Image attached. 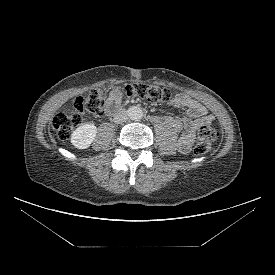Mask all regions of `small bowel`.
<instances>
[{
	"label": "small bowel",
	"instance_id": "small-bowel-1",
	"mask_svg": "<svg viewBox=\"0 0 275 275\" xmlns=\"http://www.w3.org/2000/svg\"><path fill=\"white\" fill-rule=\"evenodd\" d=\"M173 106H185L188 108L187 116L182 119L167 118L165 121L179 135L178 147L181 152L187 153L195 139L196 133L203 123L210 124L214 117L209 114L207 108L201 103L183 95L176 96L172 101ZM121 106V96L114 92L108 98L105 112L108 115L115 113Z\"/></svg>",
	"mask_w": 275,
	"mask_h": 275
}]
</instances>
